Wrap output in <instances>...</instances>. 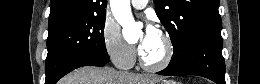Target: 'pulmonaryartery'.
Here are the masks:
<instances>
[{"mask_svg": "<svg viewBox=\"0 0 260 84\" xmlns=\"http://www.w3.org/2000/svg\"><path fill=\"white\" fill-rule=\"evenodd\" d=\"M146 4H147V1H145V0H133L132 1V5L136 9H142L146 6Z\"/></svg>", "mask_w": 260, "mask_h": 84, "instance_id": "e3ab8cb5", "label": "pulmonary artery"}]
</instances>
